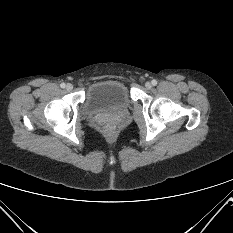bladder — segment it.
Listing matches in <instances>:
<instances>
[{
  "label": "bladder",
  "mask_w": 233,
  "mask_h": 233,
  "mask_svg": "<svg viewBox=\"0 0 233 233\" xmlns=\"http://www.w3.org/2000/svg\"><path fill=\"white\" fill-rule=\"evenodd\" d=\"M132 103L127 87L116 79L94 82L86 92L84 111L87 114H98L106 111H123Z\"/></svg>",
  "instance_id": "1"
}]
</instances>
